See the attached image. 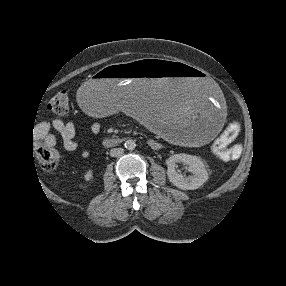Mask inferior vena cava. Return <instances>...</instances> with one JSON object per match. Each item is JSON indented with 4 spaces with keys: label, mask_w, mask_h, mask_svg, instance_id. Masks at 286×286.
<instances>
[{
    "label": "inferior vena cava",
    "mask_w": 286,
    "mask_h": 286,
    "mask_svg": "<svg viewBox=\"0 0 286 286\" xmlns=\"http://www.w3.org/2000/svg\"><path fill=\"white\" fill-rule=\"evenodd\" d=\"M124 153L123 148H114L110 150V156L111 157H119Z\"/></svg>",
    "instance_id": "1"
}]
</instances>
